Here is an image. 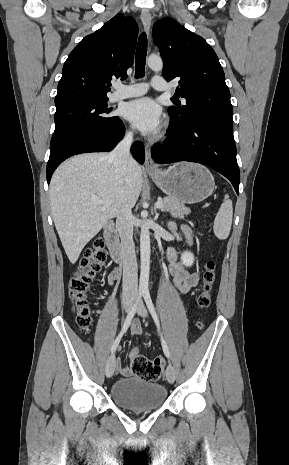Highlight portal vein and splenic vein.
Listing matches in <instances>:
<instances>
[{
	"mask_svg": "<svg viewBox=\"0 0 289 465\" xmlns=\"http://www.w3.org/2000/svg\"><path fill=\"white\" fill-rule=\"evenodd\" d=\"M93 200H94L95 202H97L98 204L104 205L105 207H107V206L110 204V202H108V201H106V200H102V199H100V198H98V197H93ZM155 206H156L157 208H161V207L163 206L162 201H157V202L155 203Z\"/></svg>",
	"mask_w": 289,
	"mask_h": 465,
	"instance_id": "obj_1",
	"label": "portal vein and splenic vein"
}]
</instances>
